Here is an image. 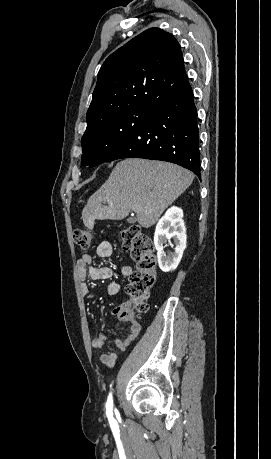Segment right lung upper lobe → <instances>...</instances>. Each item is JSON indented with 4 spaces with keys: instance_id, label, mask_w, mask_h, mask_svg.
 Instances as JSON below:
<instances>
[{
    "instance_id": "obj_1",
    "label": "right lung upper lobe",
    "mask_w": 271,
    "mask_h": 459,
    "mask_svg": "<svg viewBox=\"0 0 271 459\" xmlns=\"http://www.w3.org/2000/svg\"><path fill=\"white\" fill-rule=\"evenodd\" d=\"M188 84L178 41L170 33L150 28L105 60L87 122L139 105L158 108Z\"/></svg>"
}]
</instances>
